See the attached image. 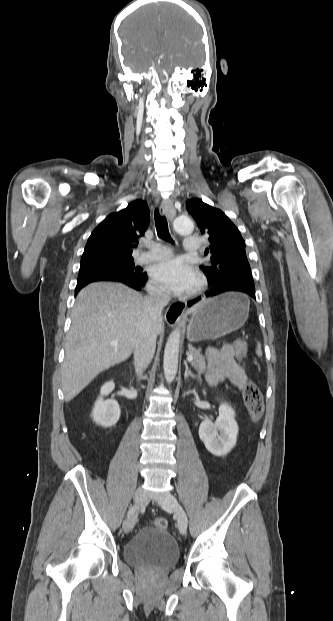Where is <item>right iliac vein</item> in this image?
<instances>
[{"label":"right iliac vein","mask_w":333,"mask_h":621,"mask_svg":"<svg viewBox=\"0 0 333 621\" xmlns=\"http://www.w3.org/2000/svg\"><path fill=\"white\" fill-rule=\"evenodd\" d=\"M146 499L145 491L142 487H138L134 494V504L135 506H140L144 503ZM136 523V513L128 516L123 523V530L125 533H129Z\"/></svg>","instance_id":"obj_1"}]
</instances>
